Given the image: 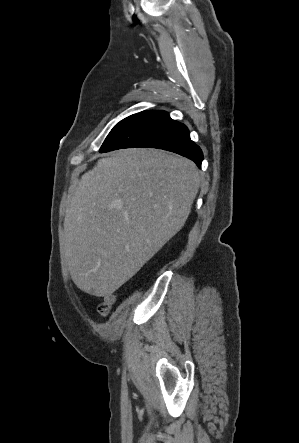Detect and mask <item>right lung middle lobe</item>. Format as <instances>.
Wrapping results in <instances>:
<instances>
[{
    "mask_svg": "<svg viewBox=\"0 0 299 443\" xmlns=\"http://www.w3.org/2000/svg\"><path fill=\"white\" fill-rule=\"evenodd\" d=\"M141 113V112H140ZM140 113L131 115L122 121H120L117 125L114 126V128L111 130L109 135L106 137L105 141L103 142L100 151L108 148L110 145H112L117 138L131 125V123L139 116Z\"/></svg>",
    "mask_w": 299,
    "mask_h": 443,
    "instance_id": "obj_1",
    "label": "right lung middle lobe"
}]
</instances>
